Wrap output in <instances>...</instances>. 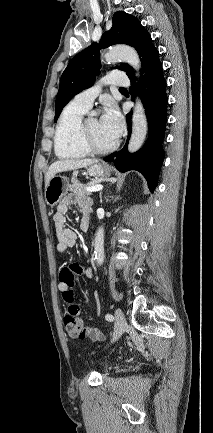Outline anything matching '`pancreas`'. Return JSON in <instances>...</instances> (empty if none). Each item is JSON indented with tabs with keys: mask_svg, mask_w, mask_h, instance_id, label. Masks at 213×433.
Returning a JSON list of instances; mask_svg holds the SVG:
<instances>
[{
	"mask_svg": "<svg viewBox=\"0 0 213 433\" xmlns=\"http://www.w3.org/2000/svg\"><path fill=\"white\" fill-rule=\"evenodd\" d=\"M72 184L69 186L70 191H72L77 196H89L91 195L90 192L86 190L87 187L92 186L93 184H81L78 182L76 177H73L71 179Z\"/></svg>",
	"mask_w": 213,
	"mask_h": 433,
	"instance_id": "1",
	"label": "pancreas"
}]
</instances>
